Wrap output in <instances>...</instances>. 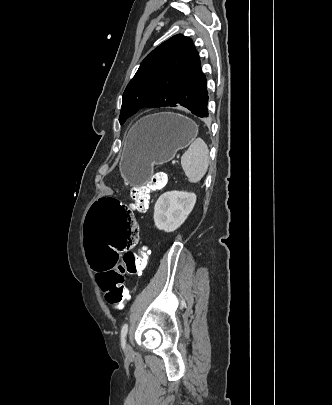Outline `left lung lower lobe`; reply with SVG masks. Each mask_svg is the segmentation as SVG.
<instances>
[{
    "label": "left lung lower lobe",
    "mask_w": 332,
    "mask_h": 405,
    "mask_svg": "<svg viewBox=\"0 0 332 405\" xmlns=\"http://www.w3.org/2000/svg\"><path fill=\"white\" fill-rule=\"evenodd\" d=\"M207 102H208V91L206 85V77L204 76L199 86L194 105L189 110L199 117H208Z\"/></svg>",
    "instance_id": "obj_1"
}]
</instances>
